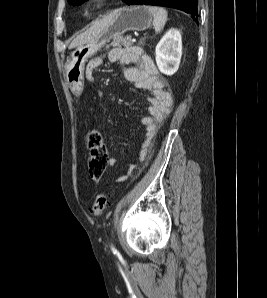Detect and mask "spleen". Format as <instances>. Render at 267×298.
<instances>
[{
    "label": "spleen",
    "instance_id": "3e777b00",
    "mask_svg": "<svg viewBox=\"0 0 267 298\" xmlns=\"http://www.w3.org/2000/svg\"><path fill=\"white\" fill-rule=\"evenodd\" d=\"M147 10L153 15V26L156 33H159L163 30L166 21L168 13L167 11L162 7H156V6H146Z\"/></svg>",
    "mask_w": 267,
    "mask_h": 298
}]
</instances>
